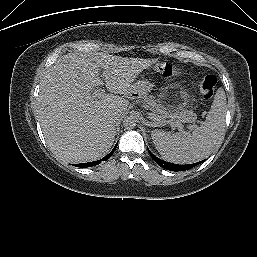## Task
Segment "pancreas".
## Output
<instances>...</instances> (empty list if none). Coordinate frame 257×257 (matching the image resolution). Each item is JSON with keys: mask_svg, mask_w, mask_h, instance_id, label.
<instances>
[{"mask_svg": "<svg viewBox=\"0 0 257 257\" xmlns=\"http://www.w3.org/2000/svg\"><path fill=\"white\" fill-rule=\"evenodd\" d=\"M142 103L144 108L150 109L159 117L168 118L172 122H193L196 119V114L192 110L167 108L153 95H144Z\"/></svg>", "mask_w": 257, "mask_h": 257, "instance_id": "1", "label": "pancreas"}]
</instances>
